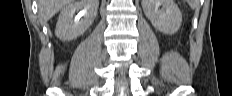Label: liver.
<instances>
[{
	"instance_id": "obj_1",
	"label": "liver",
	"mask_w": 232,
	"mask_h": 96,
	"mask_svg": "<svg viewBox=\"0 0 232 96\" xmlns=\"http://www.w3.org/2000/svg\"><path fill=\"white\" fill-rule=\"evenodd\" d=\"M70 2L71 0H38L39 17L41 21L46 23Z\"/></svg>"
}]
</instances>
